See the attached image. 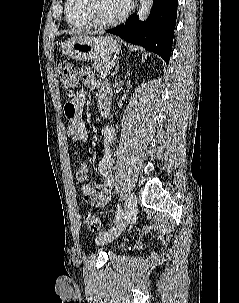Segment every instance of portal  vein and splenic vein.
<instances>
[{"instance_id":"1","label":"portal vein and splenic vein","mask_w":239,"mask_h":303,"mask_svg":"<svg viewBox=\"0 0 239 303\" xmlns=\"http://www.w3.org/2000/svg\"><path fill=\"white\" fill-rule=\"evenodd\" d=\"M107 68L109 69V71H110V69H111V65H110V63L107 65Z\"/></svg>"}]
</instances>
